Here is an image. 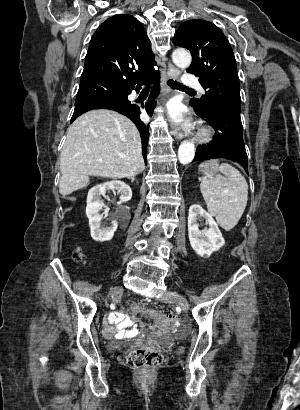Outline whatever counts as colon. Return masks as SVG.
I'll use <instances>...</instances> for the list:
<instances>
[{
	"label": "colon",
	"instance_id": "5ec220e1",
	"mask_svg": "<svg viewBox=\"0 0 300 410\" xmlns=\"http://www.w3.org/2000/svg\"><path fill=\"white\" fill-rule=\"evenodd\" d=\"M73 259L75 261H80L82 259L81 253L75 251L73 253ZM175 319L176 318L172 312H158L156 317L153 318V323L168 325L173 323ZM127 362L131 367L143 373H147L160 365L162 362V355L154 347L150 345H143L128 353Z\"/></svg>",
	"mask_w": 300,
	"mask_h": 410
}]
</instances>
